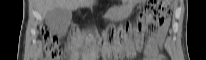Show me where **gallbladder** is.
I'll return each mask as SVG.
<instances>
[{
    "label": "gallbladder",
    "mask_w": 206,
    "mask_h": 60,
    "mask_svg": "<svg viewBox=\"0 0 206 60\" xmlns=\"http://www.w3.org/2000/svg\"><path fill=\"white\" fill-rule=\"evenodd\" d=\"M46 22L56 31L65 30L71 22L72 13L64 8H55L46 14Z\"/></svg>",
    "instance_id": "obj_1"
}]
</instances>
